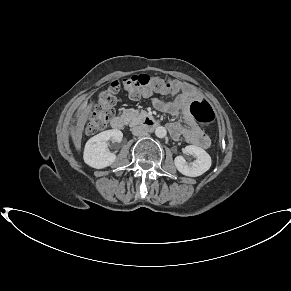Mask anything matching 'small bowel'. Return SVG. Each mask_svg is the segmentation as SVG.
I'll list each match as a JSON object with an SVG mask.
<instances>
[{
    "label": "small bowel",
    "instance_id": "1",
    "mask_svg": "<svg viewBox=\"0 0 291 291\" xmlns=\"http://www.w3.org/2000/svg\"><path fill=\"white\" fill-rule=\"evenodd\" d=\"M161 95L170 96V100L165 101L155 98L153 105L157 110L177 114L181 111V123H169L167 128L175 140L183 139L185 142L206 149L210 146L209 138L196 125L188 111L189 104L198 98L192 87L183 81L172 80L169 86L161 92Z\"/></svg>",
    "mask_w": 291,
    "mask_h": 291
}]
</instances>
